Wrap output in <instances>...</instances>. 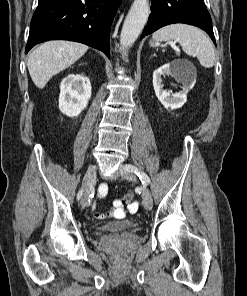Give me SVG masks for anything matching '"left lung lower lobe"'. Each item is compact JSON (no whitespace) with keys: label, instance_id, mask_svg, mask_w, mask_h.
Masks as SVG:
<instances>
[{"label":"left lung lower lobe","instance_id":"0a47b994","mask_svg":"<svg viewBox=\"0 0 247 296\" xmlns=\"http://www.w3.org/2000/svg\"><path fill=\"white\" fill-rule=\"evenodd\" d=\"M173 23H185L203 29L216 45L212 20L204 0H152L151 14L141 39Z\"/></svg>","mask_w":247,"mask_h":296}]
</instances>
